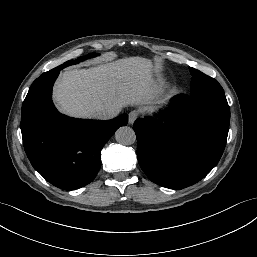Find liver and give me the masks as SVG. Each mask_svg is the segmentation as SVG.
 I'll list each match as a JSON object with an SVG mask.
<instances>
[{
  "label": "liver",
  "instance_id": "1",
  "mask_svg": "<svg viewBox=\"0 0 257 257\" xmlns=\"http://www.w3.org/2000/svg\"><path fill=\"white\" fill-rule=\"evenodd\" d=\"M159 93L151 61L129 57L64 72L55 85L54 101L67 115L93 118L99 108L149 104Z\"/></svg>",
  "mask_w": 257,
  "mask_h": 257
}]
</instances>
